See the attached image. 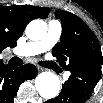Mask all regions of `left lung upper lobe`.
<instances>
[{
    "label": "left lung upper lobe",
    "mask_w": 103,
    "mask_h": 103,
    "mask_svg": "<svg viewBox=\"0 0 103 103\" xmlns=\"http://www.w3.org/2000/svg\"><path fill=\"white\" fill-rule=\"evenodd\" d=\"M56 18L62 23L60 43L53 48V56L65 70L78 66L103 64V56L97 37L88 25L76 15L57 10Z\"/></svg>",
    "instance_id": "obj_1"
}]
</instances>
